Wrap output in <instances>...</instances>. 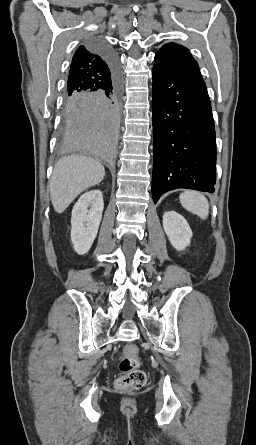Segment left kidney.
<instances>
[{"label":"left kidney","mask_w":256,"mask_h":445,"mask_svg":"<svg viewBox=\"0 0 256 445\" xmlns=\"http://www.w3.org/2000/svg\"><path fill=\"white\" fill-rule=\"evenodd\" d=\"M163 228L171 245L178 251L184 250L192 238V230L183 216L175 211L165 212Z\"/></svg>","instance_id":"left-kidney-1"}]
</instances>
